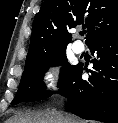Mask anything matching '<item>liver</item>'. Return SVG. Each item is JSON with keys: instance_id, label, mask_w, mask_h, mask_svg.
<instances>
[{"instance_id": "6515ba94", "label": "liver", "mask_w": 118, "mask_h": 123, "mask_svg": "<svg viewBox=\"0 0 118 123\" xmlns=\"http://www.w3.org/2000/svg\"><path fill=\"white\" fill-rule=\"evenodd\" d=\"M6 123H83V120L77 119L67 113L50 110L15 115L8 119Z\"/></svg>"}]
</instances>
